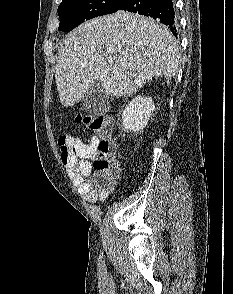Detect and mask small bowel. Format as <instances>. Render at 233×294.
<instances>
[{
	"mask_svg": "<svg viewBox=\"0 0 233 294\" xmlns=\"http://www.w3.org/2000/svg\"><path fill=\"white\" fill-rule=\"evenodd\" d=\"M60 141L68 148L66 159H62L66 168L75 178H85L82 181L85 197L90 202L104 200L110 192L111 182L107 185H98L93 181L89 162L93 149V139L85 144L79 138L65 135L60 137L58 141L59 147L61 146Z\"/></svg>",
	"mask_w": 233,
	"mask_h": 294,
	"instance_id": "small-bowel-1",
	"label": "small bowel"
}]
</instances>
